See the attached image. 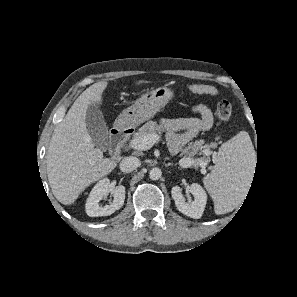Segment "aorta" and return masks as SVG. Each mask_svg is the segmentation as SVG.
I'll return each instance as SVG.
<instances>
[{"mask_svg":"<svg viewBox=\"0 0 297 297\" xmlns=\"http://www.w3.org/2000/svg\"><path fill=\"white\" fill-rule=\"evenodd\" d=\"M162 176V172H161V169L155 167V168H152L149 172V177L150 179L152 180H158L160 179Z\"/></svg>","mask_w":297,"mask_h":297,"instance_id":"1","label":"aorta"}]
</instances>
